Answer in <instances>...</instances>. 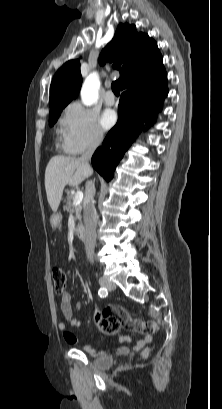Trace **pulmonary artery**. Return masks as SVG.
Listing matches in <instances>:
<instances>
[{"instance_id":"e3ab8cb5","label":"pulmonary artery","mask_w":222,"mask_h":409,"mask_svg":"<svg viewBox=\"0 0 222 409\" xmlns=\"http://www.w3.org/2000/svg\"><path fill=\"white\" fill-rule=\"evenodd\" d=\"M105 104L108 106H112L115 104L116 99L115 96L113 94V92L111 90H108L105 94V98H104Z\"/></svg>"}]
</instances>
